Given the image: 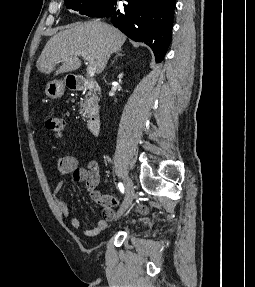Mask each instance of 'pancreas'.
Wrapping results in <instances>:
<instances>
[{
    "label": "pancreas",
    "instance_id": "cf45deb5",
    "mask_svg": "<svg viewBox=\"0 0 255 287\" xmlns=\"http://www.w3.org/2000/svg\"><path fill=\"white\" fill-rule=\"evenodd\" d=\"M99 98L95 92V90H90L85 94V98L80 102V108H82L81 112H83L84 118H91V116H95V110L98 106Z\"/></svg>",
    "mask_w": 255,
    "mask_h": 287
}]
</instances>
